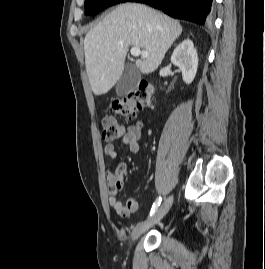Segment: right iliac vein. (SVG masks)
I'll return each instance as SVG.
<instances>
[{
  "instance_id": "right-iliac-vein-1",
  "label": "right iliac vein",
  "mask_w": 265,
  "mask_h": 269,
  "mask_svg": "<svg viewBox=\"0 0 265 269\" xmlns=\"http://www.w3.org/2000/svg\"><path fill=\"white\" fill-rule=\"evenodd\" d=\"M173 203V196H169L164 200L158 210L148 220L138 224L132 232L131 239L135 241L140 235L146 232L153 225L157 224L169 211Z\"/></svg>"
}]
</instances>
